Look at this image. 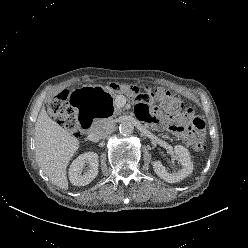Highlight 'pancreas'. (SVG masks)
Segmentation results:
<instances>
[{"instance_id": "pancreas-1", "label": "pancreas", "mask_w": 248, "mask_h": 248, "mask_svg": "<svg viewBox=\"0 0 248 248\" xmlns=\"http://www.w3.org/2000/svg\"><path fill=\"white\" fill-rule=\"evenodd\" d=\"M121 113V109L120 108H116L115 109V114L117 115V114H120ZM160 136L162 137V138H169V136L167 135V134H160Z\"/></svg>"}]
</instances>
